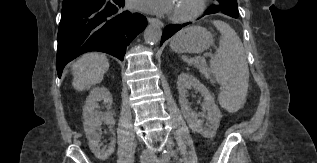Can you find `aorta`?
Wrapping results in <instances>:
<instances>
[{
	"label": "aorta",
	"instance_id": "aorta-1",
	"mask_svg": "<svg viewBox=\"0 0 317 163\" xmlns=\"http://www.w3.org/2000/svg\"><path fill=\"white\" fill-rule=\"evenodd\" d=\"M162 37V28L158 21H154L148 25L144 32V40L148 45L157 44Z\"/></svg>",
	"mask_w": 317,
	"mask_h": 163
}]
</instances>
